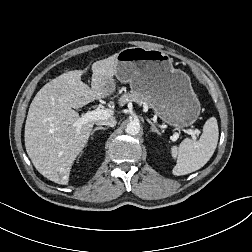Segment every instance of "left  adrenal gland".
I'll list each match as a JSON object with an SVG mask.
<instances>
[{"label":"left adrenal gland","instance_id":"a2214340","mask_svg":"<svg viewBox=\"0 0 252 252\" xmlns=\"http://www.w3.org/2000/svg\"><path fill=\"white\" fill-rule=\"evenodd\" d=\"M147 121L151 125V131H154L157 134L161 135L160 131L156 128V126L152 123V121L150 119H147Z\"/></svg>","mask_w":252,"mask_h":252}]
</instances>
